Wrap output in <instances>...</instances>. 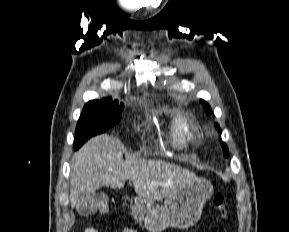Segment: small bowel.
I'll list each match as a JSON object with an SVG mask.
<instances>
[{
	"instance_id": "obj_1",
	"label": "small bowel",
	"mask_w": 289,
	"mask_h": 232,
	"mask_svg": "<svg viewBox=\"0 0 289 232\" xmlns=\"http://www.w3.org/2000/svg\"><path fill=\"white\" fill-rule=\"evenodd\" d=\"M84 232H99L96 228L89 227ZM121 232H138L136 229L125 227Z\"/></svg>"
}]
</instances>
